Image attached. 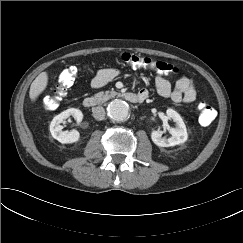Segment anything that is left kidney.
Returning a JSON list of instances; mask_svg holds the SVG:
<instances>
[{"label":"left kidney","mask_w":243,"mask_h":243,"mask_svg":"<svg viewBox=\"0 0 243 243\" xmlns=\"http://www.w3.org/2000/svg\"><path fill=\"white\" fill-rule=\"evenodd\" d=\"M168 119H172L176 123V128H170L171 137L164 138L160 131H152L151 138L154 144L159 147H171L183 144L188 138L185 123L181 116L173 109L169 108L166 111Z\"/></svg>","instance_id":"5707ae66"}]
</instances>
